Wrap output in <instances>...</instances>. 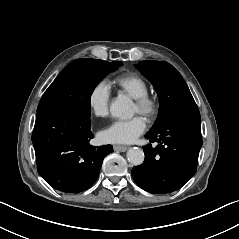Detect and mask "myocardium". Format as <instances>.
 <instances>
[{
	"label": "myocardium",
	"instance_id": "myocardium-1",
	"mask_svg": "<svg viewBox=\"0 0 239 239\" xmlns=\"http://www.w3.org/2000/svg\"><path fill=\"white\" fill-rule=\"evenodd\" d=\"M138 112L146 116L150 121L157 118L160 111V103L157 97L150 94L139 96L135 99Z\"/></svg>",
	"mask_w": 239,
	"mask_h": 239
}]
</instances>
